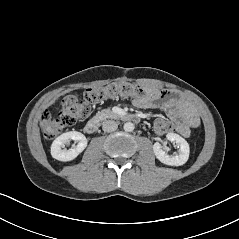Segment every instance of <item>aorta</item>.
Instances as JSON below:
<instances>
[{"label":"aorta","mask_w":239,"mask_h":239,"mask_svg":"<svg viewBox=\"0 0 239 239\" xmlns=\"http://www.w3.org/2000/svg\"><path fill=\"white\" fill-rule=\"evenodd\" d=\"M123 128L126 132H132L134 130V124L132 122H126Z\"/></svg>","instance_id":"obj_1"}]
</instances>
